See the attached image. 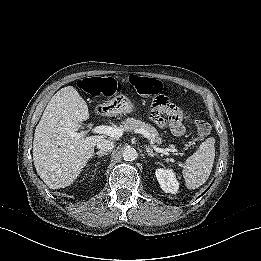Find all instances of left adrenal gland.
Returning <instances> with one entry per match:
<instances>
[{"label": "left adrenal gland", "instance_id": "1", "mask_svg": "<svg viewBox=\"0 0 261 261\" xmlns=\"http://www.w3.org/2000/svg\"><path fill=\"white\" fill-rule=\"evenodd\" d=\"M146 152H147V154H148L149 157H155V156L158 157V154H157V153H154L153 150H152L150 147H147V146H146Z\"/></svg>", "mask_w": 261, "mask_h": 261}]
</instances>
